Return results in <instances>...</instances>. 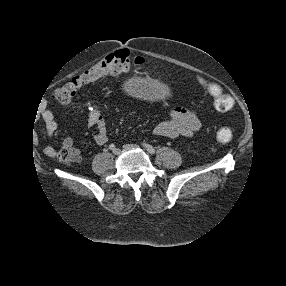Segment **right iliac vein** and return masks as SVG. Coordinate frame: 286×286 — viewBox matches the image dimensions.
I'll return each mask as SVG.
<instances>
[{
    "mask_svg": "<svg viewBox=\"0 0 286 286\" xmlns=\"http://www.w3.org/2000/svg\"><path fill=\"white\" fill-rule=\"evenodd\" d=\"M112 152H113L114 155H118L120 153V150L119 149H114Z\"/></svg>",
    "mask_w": 286,
    "mask_h": 286,
    "instance_id": "right-iliac-vein-1",
    "label": "right iliac vein"
}]
</instances>
